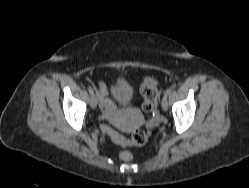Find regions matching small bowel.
I'll return each instance as SVG.
<instances>
[{
	"mask_svg": "<svg viewBox=\"0 0 249 188\" xmlns=\"http://www.w3.org/2000/svg\"><path fill=\"white\" fill-rule=\"evenodd\" d=\"M108 89L104 82H100L97 89L99 105L102 111L101 118L113 121L115 118V105L107 98Z\"/></svg>",
	"mask_w": 249,
	"mask_h": 188,
	"instance_id": "obj_1",
	"label": "small bowel"
}]
</instances>
